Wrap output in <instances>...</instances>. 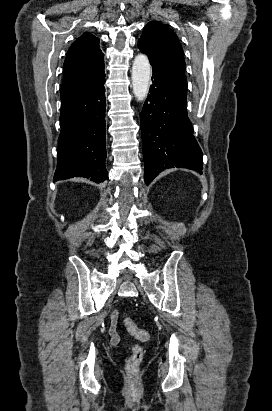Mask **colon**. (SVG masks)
Segmentation results:
<instances>
[{"mask_svg": "<svg viewBox=\"0 0 272 411\" xmlns=\"http://www.w3.org/2000/svg\"><path fill=\"white\" fill-rule=\"evenodd\" d=\"M124 324H125L127 331L134 337L140 340H143V341H147L149 339L150 336H149L148 331L143 328L138 327L133 322V320H131L130 318H126L124 320ZM142 359H143L142 347L139 345H134L132 347V353L126 361V370L132 377H134L137 374L139 370V366L142 362Z\"/></svg>", "mask_w": 272, "mask_h": 411, "instance_id": "5ec220e1", "label": "colon"}]
</instances>
